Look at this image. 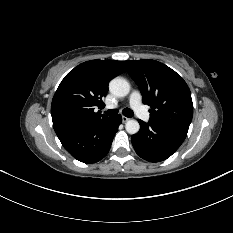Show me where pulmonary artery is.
I'll list each match as a JSON object with an SVG mask.
<instances>
[{
	"instance_id": "pulmonary-artery-1",
	"label": "pulmonary artery",
	"mask_w": 233,
	"mask_h": 233,
	"mask_svg": "<svg viewBox=\"0 0 233 233\" xmlns=\"http://www.w3.org/2000/svg\"><path fill=\"white\" fill-rule=\"evenodd\" d=\"M129 102L132 107V109L136 112V114L142 118L143 120L147 121L149 119V114L146 112V110L142 106L141 102V95L138 91H133L130 94ZM115 106L111 105L107 108H114Z\"/></svg>"
}]
</instances>
